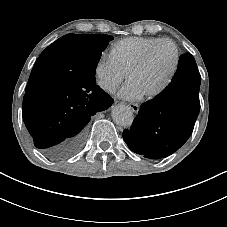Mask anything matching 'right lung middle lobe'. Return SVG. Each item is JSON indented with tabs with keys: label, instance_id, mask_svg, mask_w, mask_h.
Masks as SVG:
<instances>
[{
	"label": "right lung middle lobe",
	"instance_id": "1",
	"mask_svg": "<svg viewBox=\"0 0 227 227\" xmlns=\"http://www.w3.org/2000/svg\"><path fill=\"white\" fill-rule=\"evenodd\" d=\"M110 35L67 34L48 46L37 59L26 92L52 79L64 84L95 82V69Z\"/></svg>",
	"mask_w": 227,
	"mask_h": 227
}]
</instances>
